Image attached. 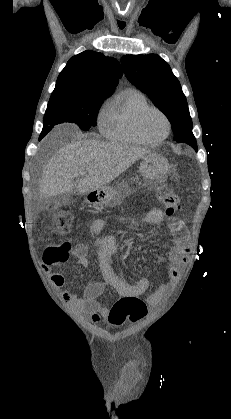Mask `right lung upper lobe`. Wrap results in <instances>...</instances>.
Instances as JSON below:
<instances>
[{
	"label": "right lung upper lobe",
	"mask_w": 231,
	"mask_h": 419,
	"mask_svg": "<svg viewBox=\"0 0 231 419\" xmlns=\"http://www.w3.org/2000/svg\"><path fill=\"white\" fill-rule=\"evenodd\" d=\"M121 77L122 70L115 58L87 50L69 59L53 92L78 98H107Z\"/></svg>",
	"instance_id": "cb5924a9"
}]
</instances>
